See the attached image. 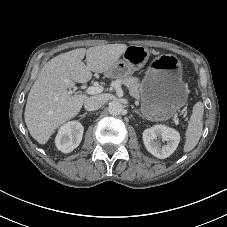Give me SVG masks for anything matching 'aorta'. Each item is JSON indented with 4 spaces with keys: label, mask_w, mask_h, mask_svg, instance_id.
I'll return each instance as SVG.
<instances>
[{
    "label": "aorta",
    "mask_w": 227,
    "mask_h": 227,
    "mask_svg": "<svg viewBox=\"0 0 227 227\" xmlns=\"http://www.w3.org/2000/svg\"><path fill=\"white\" fill-rule=\"evenodd\" d=\"M124 110L123 105L119 101H112L109 103L108 111L113 116H118L122 114Z\"/></svg>",
    "instance_id": "aorta-1"
}]
</instances>
